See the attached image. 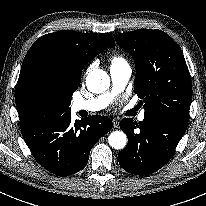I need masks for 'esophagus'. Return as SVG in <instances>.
Returning <instances> with one entry per match:
<instances>
[{
  "label": "esophagus",
  "instance_id": "1",
  "mask_svg": "<svg viewBox=\"0 0 206 206\" xmlns=\"http://www.w3.org/2000/svg\"><path fill=\"white\" fill-rule=\"evenodd\" d=\"M113 126L115 128H118L119 127V121L117 119H113Z\"/></svg>",
  "mask_w": 206,
  "mask_h": 206
}]
</instances>
